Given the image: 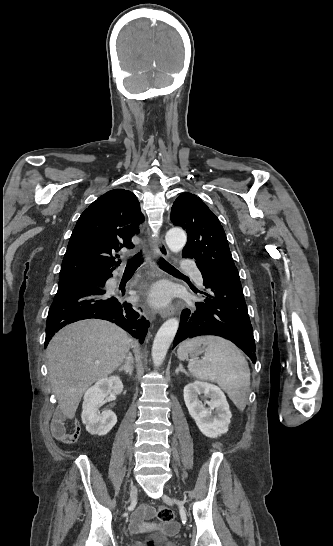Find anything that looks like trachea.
I'll return each mask as SVG.
<instances>
[{
	"label": "trachea",
	"mask_w": 333,
	"mask_h": 546,
	"mask_svg": "<svg viewBox=\"0 0 333 546\" xmlns=\"http://www.w3.org/2000/svg\"><path fill=\"white\" fill-rule=\"evenodd\" d=\"M142 262H143V257H142V254L139 253L135 255L134 258H131L128 260L126 268L136 269L141 265ZM158 264L160 268H162L163 270L167 272L180 273L176 268H174L172 265L166 262L163 258L159 259Z\"/></svg>",
	"instance_id": "1"
}]
</instances>
